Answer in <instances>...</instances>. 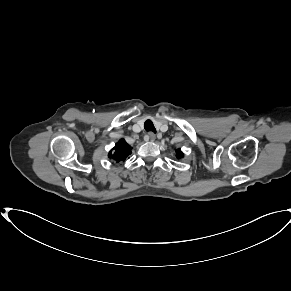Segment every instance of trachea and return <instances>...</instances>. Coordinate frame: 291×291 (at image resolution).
I'll list each match as a JSON object with an SVG mask.
<instances>
[{"label": "trachea", "mask_w": 291, "mask_h": 291, "mask_svg": "<svg viewBox=\"0 0 291 291\" xmlns=\"http://www.w3.org/2000/svg\"><path fill=\"white\" fill-rule=\"evenodd\" d=\"M144 128L146 131H152L153 133H156V129L151 120L145 121Z\"/></svg>", "instance_id": "3493384b"}]
</instances>
